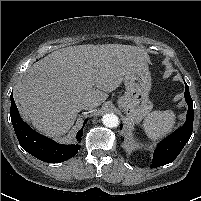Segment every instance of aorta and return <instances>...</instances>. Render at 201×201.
I'll use <instances>...</instances> for the list:
<instances>
[{
  "label": "aorta",
  "instance_id": "obj_1",
  "mask_svg": "<svg viewBox=\"0 0 201 201\" xmlns=\"http://www.w3.org/2000/svg\"><path fill=\"white\" fill-rule=\"evenodd\" d=\"M102 122L106 127L115 128L119 125V118L113 113L105 114L102 117Z\"/></svg>",
  "mask_w": 201,
  "mask_h": 201
}]
</instances>
